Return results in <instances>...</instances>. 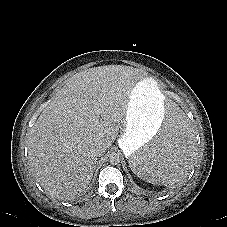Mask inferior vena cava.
Here are the masks:
<instances>
[{
    "label": "inferior vena cava",
    "instance_id": "602c4592",
    "mask_svg": "<svg viewBox=\"0 0 227 227\" xmlns=\"http://www.w3.org/2000/svg\"><path fill=\"white\" fill-rule=\"evenodd\" d=\"M107 146L105 144H99L96 146L94 153L97 157H100L104 154L105 150H106Z\"/></svg>",
    "mask_w": 227,
    "mask_h": 227
}]
</instances>
